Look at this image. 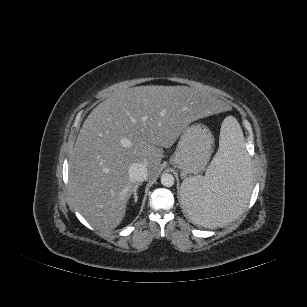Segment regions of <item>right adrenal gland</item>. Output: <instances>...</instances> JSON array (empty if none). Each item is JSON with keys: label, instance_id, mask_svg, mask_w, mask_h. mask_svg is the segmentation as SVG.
<instances>
[{"label": "right adrenal gland", "instance_id": "obj_1", "mask_svg": "<svg viewBox=\"0 0 307 307\" xmlns=\"http://www.w3.org/2000/svg\"><path fill=\"white\" fill-rule=\"evenodd\" d=\"M141 185V184H138L134 190V193H133V199H134V202L136 203L138 201V196H137V188L138 186Z\"/></svg>", "mask_w": 307, "mask_h": 307}]
</instances>
